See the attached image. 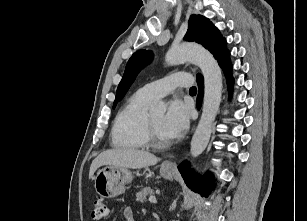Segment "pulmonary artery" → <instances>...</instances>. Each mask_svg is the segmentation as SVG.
I'll list each match as a JSON object with an SVG mask.
<instances>
[{"instance_id":"obj_1","label":"pulmonary artery","mask_w":307,"mask_h":221,"mask_svg":"<svg viewBox=\"0 0 307 221\" xmlns=\"http://www.w3.org/2000/svg\"><path fill=\"white\" fill-rule=\"evenodd\" d=\"M191 84L192 76L189 73L177 72L148 83L140 90L149 98L156 100L171 93L178 87H189Z\"/></svg>"}]
</instances>
